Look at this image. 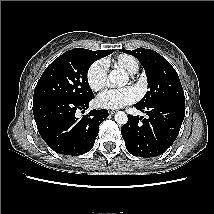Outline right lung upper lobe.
Instances as JSON below:
<instances>
[{
	"mask_svg": "<svg viewBox=\"0 0 214 214\" xmlns=\"http://www.w3.org/2000/svg\"><path fill=\"white\" fill-rule=\"evenodd\" d=\"M101 53H104L107 55L111 54L114 50H99Z\"/></svg>",
	"mask_w": 214,
	"mask_h": 214,
	"instance_id": "right-lung-upper-lobe-1",
	"label": "right lung upper lobe"
}]
</instances>
